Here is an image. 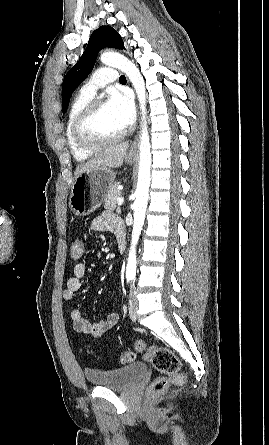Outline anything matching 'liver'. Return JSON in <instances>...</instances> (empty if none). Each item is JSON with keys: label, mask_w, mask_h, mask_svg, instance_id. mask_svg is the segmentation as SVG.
<instances>
[{"label": "liver", "mask_w": 269, "mask_h": 445, "mask_svg": "<svg viewBox=\"0 0 269 445\" xmlns=\"http://www.w3.org/2000/svg\"><path fill=\"white\" fill-rule=\"evenodd\" d=\"M128 147L129 143L123 142L105 148L88 162L80 164L74 172L75 178L84 172H90L92 170L121 167Z\"/></svg>", "instance_id": "1"}]
</instances>
